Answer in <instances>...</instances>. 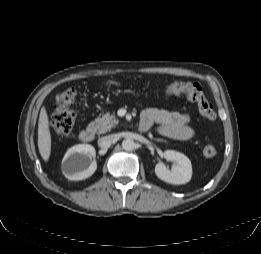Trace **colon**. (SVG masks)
<instances>
[{"instance_id": "colon-1", "label": "colon", "mask_w": 261, "mask_h": 254, "mask_svg": "<svg viewBox=\"0 0 261 254\" xmlns=\"http://www.w3.org/2000/svg\"><path fill=\"white\" fill-rule=\"evenodd\" d=\"M166 96L185 95L190 101L195 102L201 115L207 120H215L217 115L213 105L207 100L202 87L195 82L173 80L163 84ZM75 88H68L60 92L56 97L55 110L51 117V125L54 131L61 136L69 135L73 129L76 114L73 105L76 100ZM203 154L212 158L217 150L212 145L203 148Z\"/></svg>"}]
</instances>
